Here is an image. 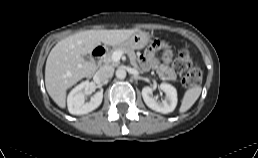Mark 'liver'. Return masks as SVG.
Returning <instances> with one entry per match:
<instances>
[{"mask_svg": "<svg viewBox=\"0 0 258 158\" xmlns=\"http://www.w3.org/2000/svg\"><path fill=\"white\" fill-rule=\"evenodd\" d=\"M138 31L86 30L59 41L49 53L45 67V85L53 101L59 107L65 108L67 89L93 74L95 66L85 61L84 55L101 43L109 46L119 45Z\"/></svg>", "mask_w": 258, "mask_h": 158, "instance_id": "1", "label": "liver"}]
</instances>
